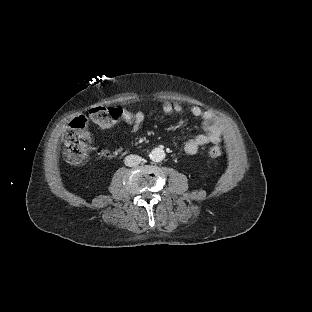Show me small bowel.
Wrapping results in <instances>:
<instances>
[{
	"label": "small bowel",
	"mask_w": 312,
	"mask_h": 312,
	"mask_svg": "<svg viewBox=\"0 0 312 312\" xmlns=\"http://www.w3.org/2000/svg\"><path fill=\"white\" fill-rule=\"evenodd\" d=\"M162 110L165 114L181 113L183 106L179 102L165 101L162 104ZM190 113L195 118L202 120L205 133L198 134L186 142L184 150L187 154H195L199 147L207 144L219 143L223 136V129L220 120L210 111L202 109L198 105L190 108ZM128 127L131 131L140 130L145 123V115L141 111H135L127 118Z\"/></svg>",
	"instance_id": "small-bowel-1"
}]
</instances>
